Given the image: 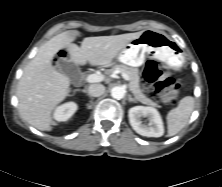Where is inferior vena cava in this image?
Returning a JSON list of instances; mask_svg holds the SVG:
<instances>
[{
    "label": "inferior vena cava",
    "mask_w": 222,
    "mask_h": 187,
    "mask_svg": "<svg viewBox=\"0 0 222 187\" xmlns=\"http://www.w3.org/2000/svg\"><path fill=\"white\" fill-rule=\"evenodd\" d=\"M90 96L99 97L104 94L105 87L102 84H92L88 88Z\"/></svg>",
    "instance_id": "602c4592"
}]
</instances>
